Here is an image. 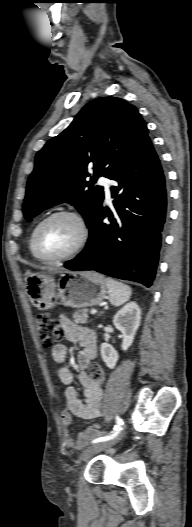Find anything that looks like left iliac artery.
I'll use <instances>...</instances> for the list:
<instances>
[{"label":"left iliac artery","mask_w":192,"mask_h":527,"mask_svg":"<svg viewBox=\"0 0 192 527\" xmlns=\"http://www.w3.org/2000/svg\"><path fill=\"white\" fill-rule=\"evenodd\" d=\"M123 424L124 423H123V420L121 419V417L116 416V425H115L114 429L109 434L94 439L92 441V443L94 444V443L104 442V441H108V440L113 439L122 430Z\"/></svg>","instance_id":"44dca946"}]
</instances>
